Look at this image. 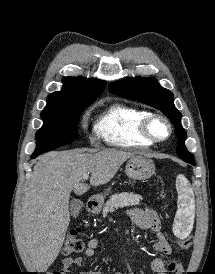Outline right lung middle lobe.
I'll return each instance as SVG.
<instances>
[{"label":"right lung middle lobe","instance_id":"dd1d6c3e","mask_svg":"<svg viewBox=\"0 0 215 274\" xmlns=\"http://www.w3.org/2000/svg\"><path fill=\"white\" fill-rule=\"evenodd\" d=\"M68 102H47L41 112L43 126L36 133L37 146L31 158L40 153L71 143L77 138L78 119L88 106Z\"/></svg>","mask_w":215,"mask_h":274}]
</instances>
